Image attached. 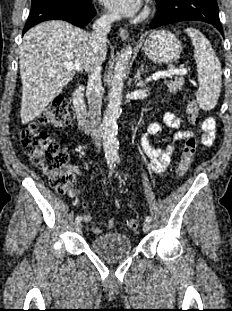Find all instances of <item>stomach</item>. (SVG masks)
Masks as SVG:
<instances>
[{
	"label": "stomach",
	"mask_w": 232,
	"mask_h": 311,
	"mask_svg": "<svg viewBox=\"0 0 232 311\" xmlns=\"http://www.w3.org/2000/svg\"><path fill=\"white\" fill-rule=\"evenodd\" d=\"M143 51L156 63H171L181 54L182 46L175 35L166 30L153 31L146 39Z\"/></svg>",
	"instance_id": "obj_1"
}]
</instances>
